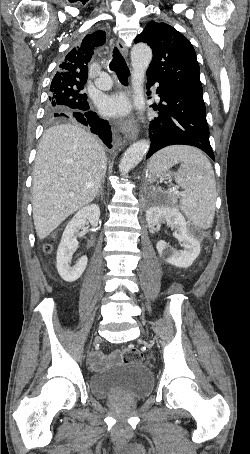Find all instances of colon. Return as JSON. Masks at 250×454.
<instances>
[{"label":"colon","instance_id":"1","mask_svg":"<svg viewBox=\"0 0 250 454\" xmlns=\"http://www.w3.org/2000/svg\"><path fill=\"white\" fill-rule=\"evenodd\" d=\"M46 253H50L52 250L51 245L47 244L44 247ZM124 362L140 363L143 360L142 353L134 347H126L119 352Z\"/></svg>","mask_w":250,"mask_h":454}]
</instances>
